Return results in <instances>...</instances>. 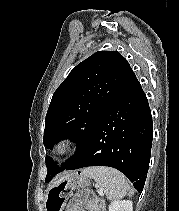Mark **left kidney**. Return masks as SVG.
Masks as SVG:
<instances>
[{
  "label": "left kidney",
  "instance_id": "left-kidney-1",
  "mask_svg": "<svg viewBox=\"0 0 179 211\" xmlns=\"http://www.w3.org/2000/svg\"><path fill=\"white\" fill-rule=\"evenodd\" d=\"M108 211H133V203L130 200H117L109 205Z\"/></svg>",
  "mask_w": 179,
  "mask_h": 211
}]
</instances>
